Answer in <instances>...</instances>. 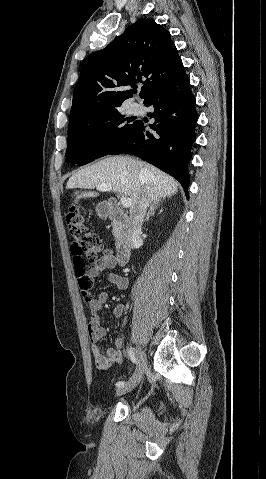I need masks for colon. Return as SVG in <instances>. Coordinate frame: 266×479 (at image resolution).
<instances>
[{
    "label": "colon",
    "mask_w": 266,
    "mask_h": 479,
    "mask_svg": "<svg viewBox=\"0 0 266 479\" xmlns=\"http://www.w3.org/2000/svg\"><path fill=\"white\" fill-rule=\"evenodd\" d=\"M68 231L72 239L70 250L73 255L75 275L82 295L90 298L92 277L86 273L87 264L94 263L102 252V240L87 225L84 213L71 207L66 216Z\"/></svg>",
    "instance_id": "colon-1"
}]
</instances>
